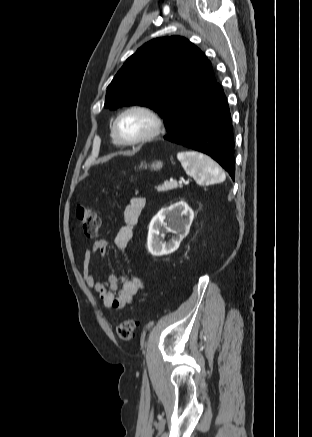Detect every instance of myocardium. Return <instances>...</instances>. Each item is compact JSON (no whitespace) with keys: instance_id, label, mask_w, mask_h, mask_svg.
<instances>
[{"instance_id":"1","label":"myocardium","mask_w":312,"mask_h":437,"mask_svg":"<svg viewBox=\"0 0 312 437\" xmlns=\"http://www.w3.org/2000/svg\"><path fill=\"white\" fill-rule=\"evenodd\" d=\"M130 112H142L146 115H148L153 122V128L152 130L146 134L145 136L135 139V140H127L123 137V135L120 132L119 129V124L121 119L123 118V116H125L126 114L130 113ZM163 129V120L160 117V115L152 108L145 106V105H132L129 107H126L125 109H123L115 118L114 123H113V130L114 133L117 137V139L119 140V142L123 145L126 146H135V145H140V144H144L147 143L153 139H155L157 136L160 135V133L162 132Z\"/></svg>"}]
</instances>
